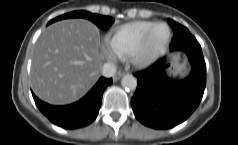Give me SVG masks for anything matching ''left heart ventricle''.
<instances>
[{"mask_svg": "<svg viewBox=\"0 0 238 145\" xmlns=\"http://www.w3.org/2000/svg\"><path fill=\"white\" fill-rule=\"evenodd\" d=\"M166 35H167V30L165 27L163 26L157 27L153 32V35L149 44V48L150 49L157 48L164 41Z\"/></svg>", "mask_w": 238, "mask_h": 145, "instance_id": "obj_1", "label": "left heart ventricle"}]
</instances>
